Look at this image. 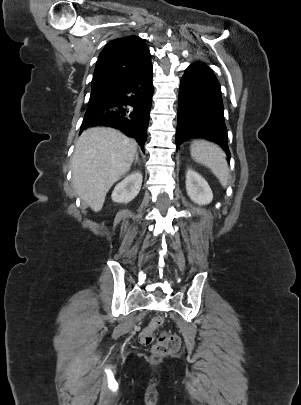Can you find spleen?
<instances>
[{"label":"spleen","instance_id":"spleen-1","mask_svg":"<svg viewBox=\"0 0 301 405\" xmlns=\"http://www.w3.org/2000/svg\"><path fill=\"white\" fill-rule=\"evenodd\" d=\"M190 152L196 162L211 169L222 186L227 185L228 165L221 148L210 142L194 141L191 144Z\"/></svg>","mask_w":301,"mask_h":405}]
</instances>
